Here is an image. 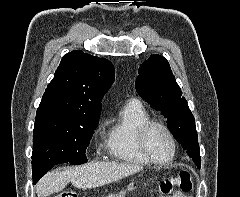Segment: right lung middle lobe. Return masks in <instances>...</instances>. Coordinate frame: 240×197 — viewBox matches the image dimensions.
Segmentation results:
<instances>
[{"label": "right lung middle lobe", "instance_id": "dd1d6c3e", "mask_svg": "<svg viewBox=\"0 0 240 197\" xmlns=\"http://www.w3.org/2000/svg\"><path fill=\"white\" fill-rule=\"evenodd\" d=\"M98 120L99 116L37 115L32 152L34 184L56 164L87 162L86 149Z\"/></svg>", "mask_w": 240, "mask_h": 197}]
</instances>
